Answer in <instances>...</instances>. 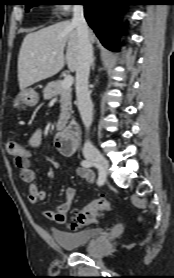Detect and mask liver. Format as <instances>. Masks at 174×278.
<instances>
[{"label":"liver","mask_w":174,"mask_h":278,"mask_svg":"<svg viewBox=\"0 0 174 278\" xmlns=\"http://www.w3.org/2000/svg\"><path fill=\"white\" fill-rule=\"evenodd\" d=\"M93 43L95 36L89 33ZM67 45L66 55L64 48ZM78 35L70 21H63L25 36L18 56V81L21 90L57 74L65 62L76 71ZM54 53V55H53Z\"/></svg>","instance_id":"1"}]
</instances>
